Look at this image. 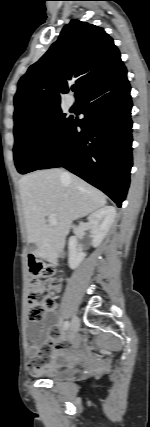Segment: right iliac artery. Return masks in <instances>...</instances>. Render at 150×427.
<instances>
[{"instance_id":"1","label":"right iliac artery","mask_w":150,"mask_h":427,"mask_svg":"<svg viewBox=\"0 0 150 427\" xmlns=\"http://www.w3.org/2000/svg\"><path fill=\"white\" fill-rule=\"evenodd\" d=\"M70 327L69 321H65L64 323V329L67 330Z\"/></svg>"}]
</instances>
